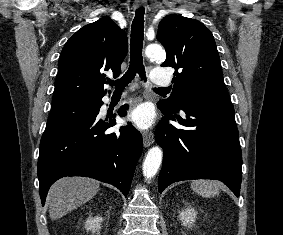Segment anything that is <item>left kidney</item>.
Returning <instances> with one entry per match:
<instances>
[{
    "instance_id": "5707ae66",
    "label": "left kidney",
    "mask_w": 283,
    "mask_h": 235,
    "mask_svg": "<svg viewBox=\"0 0 283 235\" xmlns=\"http://www.w3.org/2000/svg\"><path fill=\"white\" fill-rule=\"evenodd\" d=\"M180 221L184 226L190 227L196 218V211L192 207H188L180 212Z\"/></svg>"
}]
</instances>
